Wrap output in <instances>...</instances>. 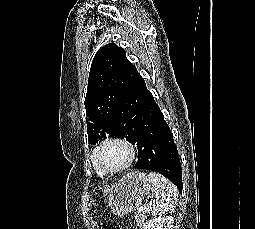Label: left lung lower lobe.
<instances>
[{
  "instance_id": "1",
  "label": "left lung lower lobe",
  "mask_w": 255,
  "mask_h": 229,
  "mask_svg": "<svg viewBox=\"0 0 255 229\" xmlns=\"http://www.w3.org/2000/svg\"><path fill=\"white\" fill-rule=\"evenodd\" d=\"M118 119L138 148L136 169L156 171L172 181L182 192V169L169 126L137 72L121 106Z\"/></svg>"
}]
</instances>
